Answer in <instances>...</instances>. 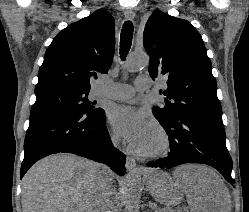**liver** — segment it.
<instances>
[{
	"instance_id": "liver-1",
	"label": "liver",
	"mask_w": 249,
	"mask_h": 212,
	"mask_svg": "<svg viewBox=\"0 0 249 212\" xmlns=\"http://www.w3.org/2000/svg\"><path fill=\"white\" fill-rule=\"evenodd\" d=\"M98 172V164L73 154L39 160L22 180V212H93ZM143 176L159 204L178 206L185 194L190 212H231L228 188L212 168L185 164L173 176L150 168Z\"/></svg>"
}]
</instances>
